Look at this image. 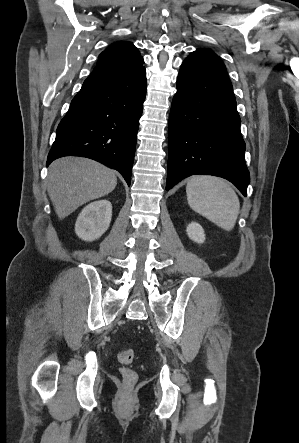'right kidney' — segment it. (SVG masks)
I'll use <instances>...</instances> for the list:
<instances>
[{
	"mask_svg": "<svg viewBox=\"0 0 299 443\" xmlns=\"http://www.w3.org/2000/svg\"><path fill=\"white\" fill-rule=\"evenodd\" d=\"M112 217V205L108 200H99L87 205L79 214L75 233L85 241H94L108 229Z\"/></svg>",
	"mask_w": 299,
	"mask_h": 443,
	"instance_id": "ca27d5eb",
	"label": "right kidney"
}]
</instances>
